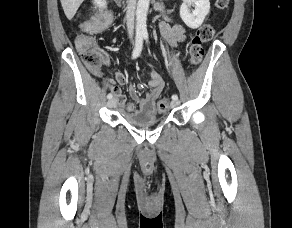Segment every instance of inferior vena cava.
I'll list each match as a JSON object with an SVG mask.
<instances>
[{
	"mask_svg": "<svg viewBox=\"0 0 292 228\" xmlns=\"http://www.w3.org/2000/svg\"><path fill=\"white\" fill-rule=\"evenodd\" d=\"M135 10L136 0H128L127 12H126V24L128 29L129 38H133L134 24H135Z\"/></svg>",
	"mask_w": 292,
	"mask_h": 228,
	"instance_id": "obj_1",
	"label": "inferior vena cava"
}]
</instances>
